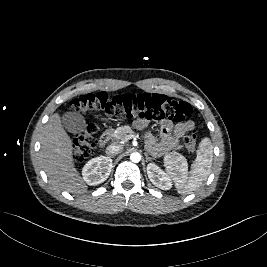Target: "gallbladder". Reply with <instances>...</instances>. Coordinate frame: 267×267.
Returning <instances> with one entry per match:
<instances>
[{
    "label": "gallbladder",
    "instance_id": "1",
    "mask_svg": "<svg viewBox=\"0 0 267 267\" xmlns=\"http://www.w3.org/2000/svg\"><path fill=\"white\" fill-rule=\"evenodd\" d=\"M62 124L68 132L73 134H78L86 131L85 118L76 111L66 112L62 116Z\"/></svg>",
    "mask_w": 267,
    "mask_h": 267
}]
</instances>
